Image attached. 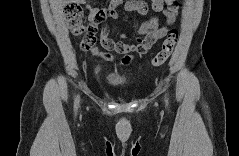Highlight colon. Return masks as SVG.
I'll use <instances>...</instances> for the list:
<instances>
[{"mask_svg":"<svg viewBox=\"0 0 239 156\" xmlns=\"http://www.w3.org/2000/svg\"><path fill=\"white\" fill-rule=\"evenodd\" d=\"M64 15L66 17L69 29L74 35H82L86 33L89 35L90 40H88L83 46L85 49L90 50L91 44L94 42V36L97 33V26L95 23H86L84 21V11L83 8L75 2H69L64 7ZM107 13L103 10L99 11L96 15V21L102 22L106 19ZM86 35V36H87ZM178 41V32L172 29L168 34L167 38L164 40L161 50L152 59V64L154 66H160L167 61V59L172 54L174 47Z\"/></svg>","mask_w":239,"mask_h":156,"instance_id":"5ec220e1","label":"colon"}]
</instances>
